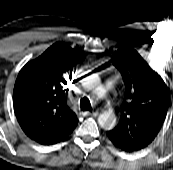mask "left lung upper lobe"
I'll return each instance as SVG.
<instances>
[{"label": "left lung upper lobe", "mask_w": 173, "mask_h": 170, "mask_svg": "<svg viewBox=\"0 0 173 170\" xmlns=\"http://www.w3.org/2000/svg\"><path fill=\"white\" fill-rule=\"evenodd\" d=\"M111 61L121 72L126 91L120 121L107 135L120 148L138 151L147 147L160 131L170 102L169 89L131 47L116 51Z\"/></svg>", "instance_id": "5c2ea615"}]
</instances>
